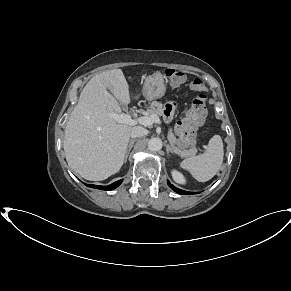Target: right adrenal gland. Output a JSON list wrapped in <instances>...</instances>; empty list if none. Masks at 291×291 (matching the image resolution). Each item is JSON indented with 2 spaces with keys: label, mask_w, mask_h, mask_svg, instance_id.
Instances as JSON below:
<instances>
[{
  "label": "right adrenal gland",
  "mask_w": 291,
  "mask_h": 291,
  "mask_svg": "<svg viewBox=\"0 0 291 291\" xmlns=\"http://www.w3.org/2000/svg\"><path fill=\"white\" fill-rule=\"evenodd\" d=\"M134 143H135V139H130V140H129V143H128V146H127V151H126V156H125V160H124V162L127 161L128 155H129V153H130V151H131V149H132Z\"/></svg>",
  "instance_id": "1"
}]
</instances>
